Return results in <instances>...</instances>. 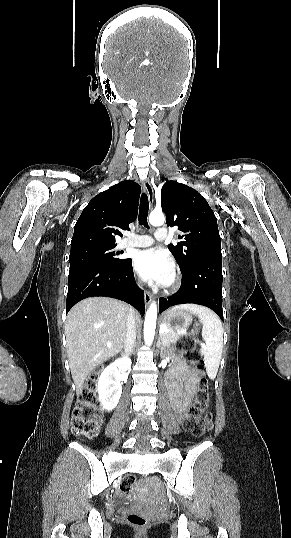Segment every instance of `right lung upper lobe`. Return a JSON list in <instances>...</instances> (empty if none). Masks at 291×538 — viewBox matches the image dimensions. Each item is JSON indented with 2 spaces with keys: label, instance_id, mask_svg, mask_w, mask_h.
I'll use <instances>...</instances> for the list:
<instances>
[{
  "label": "right lung upper lobe",
  "instance_id": "1",
  "mask_svg": "<svg viewBox=\"0 0 291 538\" xmlns=\"http://www.w3.org/2000/svg\"><path fill=\"white\" fill-rule=\"evenodd\" d=\"M140 192L137 183L127 180L91 199L75 224L71 249L116 245L115 235L121 234L119 229H128L137 217Z\"/></svg>",
  "mask_w": 291,
  "mask_h": 538
}]
</instances>
